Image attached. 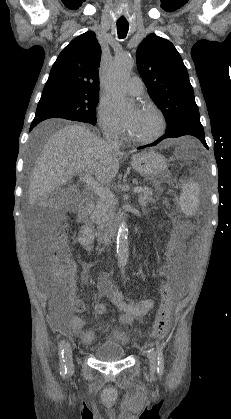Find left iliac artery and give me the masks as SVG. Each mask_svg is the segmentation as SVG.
Returning a JSON list of instances; mask_svg holds the SVG:
<instances>
[{"instance_id":"left-iliac-artery-1","label":"left iliac artery","mask_w":231,"mask_h":419,"mask_svg":"<svg viewBox=\"0 0 231 419\" xmlns=\"http://www.w3.org/2000/svg\"><path fill=\"white\" fill-rule=\"evenodd\" d=\"M157 361H158V373L159 375H162L164 372V356L162 352V348L158 345L157 346Z\"/></svg>"}]
</instances>
